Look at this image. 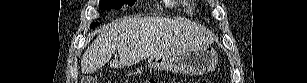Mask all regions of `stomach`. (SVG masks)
Segmentation results:
<instances>
[{"label": "stomach", "mask_w": 307, "mask_h": 83, "mask_svg": "<svg viewBox=\"0 0 307 83\" xmlns=\"http://www.w3.org/2000/svg\"><path fill=\"white\" fill-rule=\"evenodd\" d=\"M148 62L155 70L197 76L207 74L215 68L218 54L209 44H205L182 50L171 56H151Z\"/></svg>", "instance_id": "stomach-1"}]
</instances>
